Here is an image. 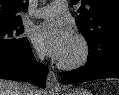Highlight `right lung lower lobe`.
<instances>
[{
  "label": "right lung lower lobe",
  "instance_id": "obj_1",
  "mask_svg": "<svg viewBox=\"0 0 119 95\" xmlns=\"http://www.w3.org/2000/svg\"><path fill=\"white\" fill-rule=\"evenodd\" d=\"M48 67L38 64L28 40L18 46L0 47V79L30 81L46 86Z\"/></svg>",
  "mask_w": 119,
  "mask_h": 95
}]
</instances>
